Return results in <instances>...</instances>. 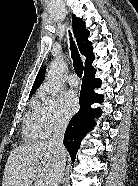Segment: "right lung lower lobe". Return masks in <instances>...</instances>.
Here are the masks:
<instances>
[{
  "mask_svg": "<svg viewBox=\"0 0 138 186\" xmlns=\"http://www.w3.org/2000/svg\"><path fill=\"white\" fill-rule=\"evenodd\" d=\"M94 74H84L79 98L80 111L72 117L64 136V146L73 161L80 147L81 140L96 124L93 119L98 118L102 112L100 108H91L93 103H101L103 99V95L96 94L93 91L94 88L100 87L101 84V80L95 79Z\"/></svg>",
  "mask_w": 138,
  "mask_h": 186,
  "instance_id": "obj_1",
  "label": "right lung lower lobe"
}]
</instances>
